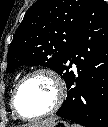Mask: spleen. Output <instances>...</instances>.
<instances>
[{
  "mask_svg": "<svg viewBox=\"0 0 108 127\" xmlns=\"http://www.w3.org/2000/svg\"><path fill=\"white\" fill-rule=\"evenodd\" d=\"M71 127H82V126L79 124H72Z\"/></svg>",
  "mask_w": 108,
  "mask_h": 127,
  "instance_id": "1",
  "label": "spleen"
}]
</instances>
